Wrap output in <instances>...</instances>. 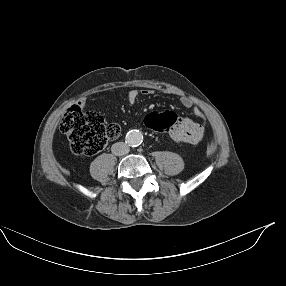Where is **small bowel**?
Segmentation results:
<instances>
[{"label": "small bowel", "mask_w": 286, "mask_h": 286, "mask_svg": "<svg viewBox=\"0 0 286 286\" xmlns=\"http://www.w3.org/2000/svg\"><path fill=\"white\" fill-rule=\"evenodd\" d=\"M150 95L153 93L152 90H140L137 88H133L129 90L127 93V101L130 105H134L140 94ZM84 103H81L83 105ZM185 106L189 107L191 105V102L189 99H184ZM196 116L200 117L203 122L206 121L205 114L203 111L196 109L195 110ZM147 117V116H146ZM146 119V118H145ZM169 131L170 137L182 144L187 145H194L200 142L203 139L204 136V126L202 124L196 123L192 120L182 118L181 121L173 126Z\"/></svg>", "instance_id": "1"}]
</instances>
